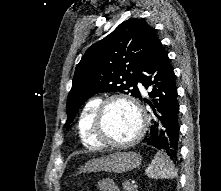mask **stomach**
<instances>
[{
    "label": "stomach",
    "instance_id": "stomach-1",
    "mask_svg": "<svg viewBox=\"0 0 221 191\" xmlns=\"http://www.w3.org/2000/svg\"><path fill=\"white\" fill-rule=\"evenodd\" d=\"M141 160V155L135 152H116L105 157L88 161L80 168L79 172L105 171L123 173L139 167Z\"/></svg>",
    "mask_w": 221,
    "mask_h": 191
}]
</instances>
